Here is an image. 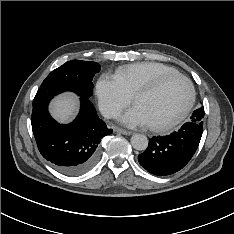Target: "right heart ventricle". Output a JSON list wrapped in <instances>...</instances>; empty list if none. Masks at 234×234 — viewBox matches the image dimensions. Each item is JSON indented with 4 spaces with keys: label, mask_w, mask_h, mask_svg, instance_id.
<instances>
[{
    "label": "right heart ventricle",
    "mask_w": 234,
    "mask_h": 234,
    "mask_svg": "<svg viewBox=\"0 0 234 234\" xmlns=\"http://www.w3.org/2000/svg\"><path fill=\"white\" fill-rule=\"evenodd\" d=\"M175 73H178L175 68L161 63L141 62L119 67L115 75L121 81L126 91L133 96L140 87L164 75Z\"/></svg>",
    "instance_id": "right-heart-ventricle-1"
}]
</instances>
